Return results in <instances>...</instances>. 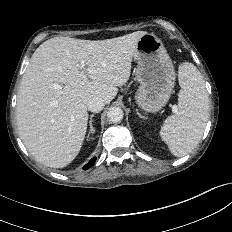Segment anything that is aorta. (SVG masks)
I'll return each instance as SVG.
<instances>
[{
  "label": "aorta",
  "instance_id": "1",
  "mask_svg": "<svg viewBox=\"0 0 232 232\" xmlns=\"http://www.w3.org/2000/svg\"><path fill=\"white\" fill-rule=\"evenodd\" d=\"M123 110L119 107H112L107 113V117L112 123H119L123 119Z\"/></svg>",
  "mask_w": 232,
  "mask_h": 232
}]
</instances>
